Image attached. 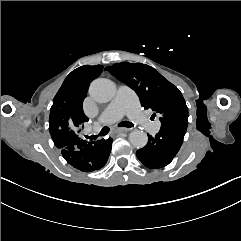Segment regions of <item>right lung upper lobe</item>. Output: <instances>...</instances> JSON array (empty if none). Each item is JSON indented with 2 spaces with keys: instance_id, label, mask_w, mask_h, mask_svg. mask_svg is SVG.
I'll use <instances>...</instances> for the list:
<instances>
[{
  "instance_id": "cb5924a9",
  "label": "right lung upper lobe",
  "mask_w": 241,
  "mask_h": 241,
  "mask_svg": "<svg viewBox=\"0 0 241 241\" xmlns=\"http://www.w3.org/2000/svg\"><path fill=\"white\" fill-rule=\"evenodd\" d=\"M97 67L102 72L103 66ZM88 87L89 84L79 82L69 74L54 97L49 116V131L59 149L82 139L78 128L88 121L82 107Z\"/></svg>"
}]
</instances>
